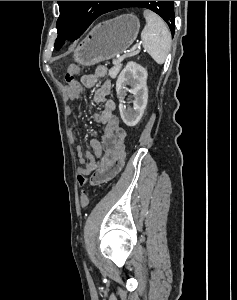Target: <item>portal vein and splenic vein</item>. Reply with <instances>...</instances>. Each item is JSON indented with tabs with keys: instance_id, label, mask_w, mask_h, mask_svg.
<instances>
[{
	"instance_id": "1",
	"label": "portal vein and splenic vein",
	"mask_w": 237,
	"mask_h": 300,
	"mask_svg": "<svg viewBox=\"0 0 237 300\" xmlns=\"http://www.w3.org/2000/svg\"><path fill=\"white\" fill-rule=\"evenodd\" d=\"M136 45H138V42H135V45H133V46H131V48H129V52L132 51V49L134 50L136 48ZM128 54L132 55V53H124V56H128ZM124 56H121V58L118 57L117 59H115L114 61H112V64H114V65L116 64V66L119 67L121 65V61H125V57Z\"/></svg>"
}]
</instances>
